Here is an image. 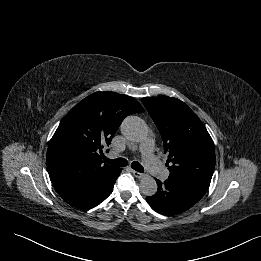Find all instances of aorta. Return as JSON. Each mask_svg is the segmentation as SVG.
<instances>
[{"instance_id":"762f6f07","label":"aorta","mask_w":261,"mask_h":261,"mask_svg":"<svg viewBox=\"0 0 261 261\" xmlns=\"http://www.w3.org/2000/svg\"><path fill=\"white\" fill-rule=\"evenodd\" d=\"M121 132L128 140L141 142L146 139L148 128L139 117L129 116L122 122ZM139 187L145 196H153L157 192V183L151 176H144L140 181Z\"/></svg>"}]
</instances>
